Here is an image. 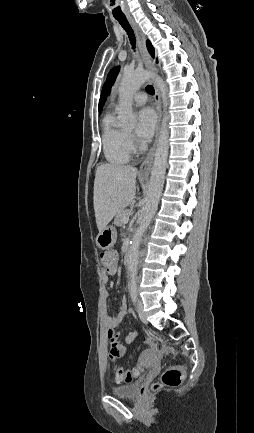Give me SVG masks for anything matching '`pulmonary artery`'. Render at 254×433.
I'll list each match as a JSON object with an SVG mask.
<instances>
[{
  "label": "pulmonary artery",
  "instance_id": "pulmonary-artery-1",
  "mask_svg": "<svg viewBox=\"0 0 254 433\" xmlns=\"http://www.w3.org/2000/svg\"><path fill=\"white\" fill-rule=\"evenodd\" d=\"M147 101V94L144 92H137L133 96V102L136 105H143Z\"/></svg>",
  "mask_w": 254,
  "mask_h": 433
}]
</instances>
